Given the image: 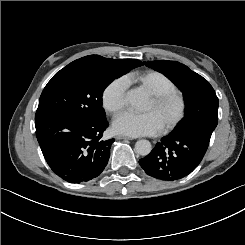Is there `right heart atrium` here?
<instances>
[{"label":"right heart atrium","mask_w":245,"mask_h":245,"mask_svg":"<svg viewBox=\"0 0 245 245\" xmlns=\"http://www.w3.org/2000/svg\"><path fill=\"white\" fill-rule=\"evenodd\" d=\"M126 84L122 79L112 80L104 89L102 103L105 110L111 114H118L125 102Z\"/></svg>","instance_id":"1"}]
</instances>
